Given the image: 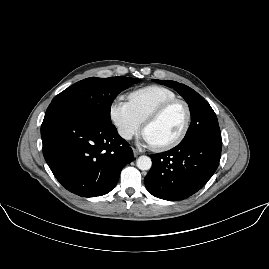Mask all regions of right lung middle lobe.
Listing matches in <instances>:
<instances>
[{
  "label": "right lung middle lobe",
  "mask_w": 269,
  "mask_h": 269,
  "mask_svg": "<svg viewBox=\"0 0 269 269\" xmlns=\"http://www.w3.org/2000/svg\"><path fill=\"white\" fill-rule=\"evenodd\" d=\"M140 79L130 77H91L68 87L54 97L50 105H62L86 112L111 123L110 108L115 97Z\"/></svg>",
  "instance_id": "obj_1"
}]
</instances>
